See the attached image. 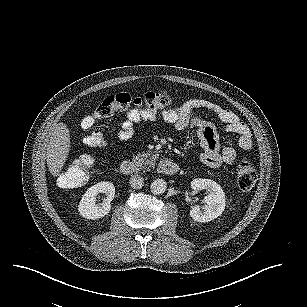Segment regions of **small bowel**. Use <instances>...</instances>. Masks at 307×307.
<instances>
[{"label":"small bowel","instance_id":"small-bowel-1","mask_svg":"<svg viewBox=\"0 0 307 307\" xmlns=\"http://www.w3.org/2000/svg\"><path fill=\"white\" fill-rule=\"evenodd\" d=\"M198 109H206L216 115L223 123L225 132L237 136V143L242 149L246 151L252 149V136L248 126L234 112L212 101L189 99L174 108L164 110L161 114L163 120L174 126L176 130H185L190 127L197 129V135L203 149L201 160L205 164L213 168L223 164L231 165L237 154L232 142L225 146L220 144L219 134L214 125L196 116L195 112ZM156 119L157 114L152 111L131 109L120 123L116 133L117 139L127 141L132 137L136 124L153 122Z\"/></svg>","mask_w":307,"mask_h":307}]
</instances>
